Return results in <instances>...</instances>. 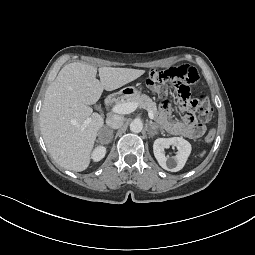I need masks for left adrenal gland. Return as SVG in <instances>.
Listing matches in <instances>:
<instances>
[{
    "instance_id": "a2214340",
    "label": "left adrenal gland",
    "mask_w": 255,
    "mask_h": 255,
    "mask_svg": "<svg viewBox=\"0 0 255 255\" xmlns=\"http://www.w3.org/2000/svg\"><path fill=\"white\" fill-rule=\"evenodd\" d=\"M149 125H150V133H149V135L153 136V135L157 134V131H156L157 126H156V124L150 121Z\"/></svg>"
}]
</instances>
